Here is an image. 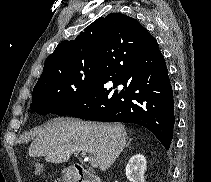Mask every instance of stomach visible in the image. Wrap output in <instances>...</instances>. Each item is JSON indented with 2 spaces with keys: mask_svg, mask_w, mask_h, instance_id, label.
<instances>
[{
  "mask_svg": "<svg viewBox=\"0 0 211 182\" xmlns=\"http://www.w3.org/2000/svg\"><path fill=\"white\" fill-rule=\"evenodd\" d=\"M63 180L64 182H74L75 174L70 169L63 170Z\"/></svg>",
  "mask_w": 211,
  "mask_h": 182,
  "instance_id": "obj_1",
  "label": "stomach"
}]
</instances>
